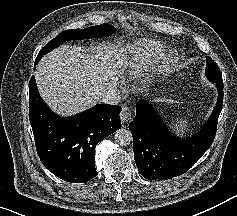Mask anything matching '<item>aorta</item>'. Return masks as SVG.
<instances>
[{"label": "aorta", "mask_w": 237, "mask_h": 216, "mask_svg": "<svg viewBox=\"0 0 237 216\" xmlns=\"http://www.w3.org/2000/svg\"><path fill=\"white\" fill-rule=\"evenodd\" d=\"M114 139L119 146L123 147L129 146L133 143L132 132L127 128L117 130L114 134Z\"/></svg>", "instance_id": "obj_1"}]
</instances>
